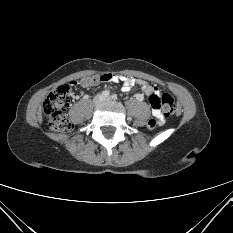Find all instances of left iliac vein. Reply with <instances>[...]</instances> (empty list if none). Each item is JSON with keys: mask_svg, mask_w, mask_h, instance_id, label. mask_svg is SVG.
Here are the masks:
<instances>
[{"mask_svg": "<svg viewBox=\"0 0 233 233\" xmlns=\"http://www.w3.org/2000/svg\"><path fill=\"white\" fill-rule=\"evenodd\" d=\"M110 99H111L110 97L104 98V100H106V101H109Z\"/></svg>", "mask_w": 233, "mask_h": 233, "instance_id": "left-iliac-vein-1", "label": "left iliac vein"}]
</instances>
